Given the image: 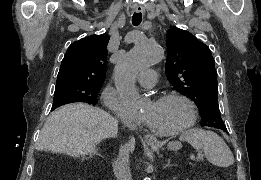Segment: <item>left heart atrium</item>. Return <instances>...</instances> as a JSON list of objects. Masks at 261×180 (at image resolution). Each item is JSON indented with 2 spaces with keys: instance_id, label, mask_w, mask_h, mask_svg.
Listing matches in <instances>:
<instances>
[{
  "instance_id": "1",
  "label": "left heart atrium",
  "mask_w": 261,
  "mask_h": 180,
  "mask_svg": "<svg viewBox=\"0 0 261 180\" xmlns=\"http://www.w3.org/2000/svg\"><path fill=\"white\" fill-rule=\"evenodd\" d=\"M136 118H138V119H140L141 121H142V114H138L137 116H136Z\"/></svg>"
}]
</instances>
